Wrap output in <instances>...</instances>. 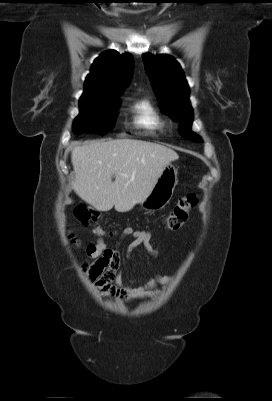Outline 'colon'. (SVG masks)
I'll use <instances>...</instances> for the list:
<instances>
[{
  "instance_id": "obj_1",
  "label": "colon",
  "mask_w": 272,
  "mask_h": 401,
  "mask_svg": "<svg viewBox=\"0 0 272 401\" xmlns=\"http://www.w3.org/2000/svg\"><path fill=\"white\" fill-rule=\"evenodd\" d=\"M197 203V199L194 195H188L182 198L172 211L166 216V226L169 229H179L182 227L188 219L190 211L194 208ZM74 215L77 221L84 225L97 224L101 215L96 209H93L84 204L78 205L74 210ZM96 235H104V229L96 226L93 229ZM73 243H76L75 239H72Z\"/></svg>"
}]
</instances>
